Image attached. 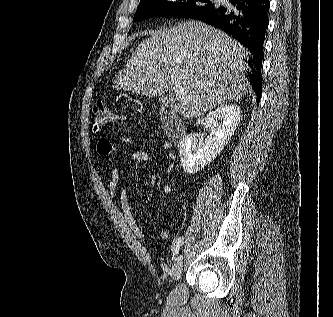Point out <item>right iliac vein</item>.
<instances>
[{"mask_svg": "<svg viewBox=\"0 0 333 317\" xmlns=\"http://www.w3.org/2000/svg\"><path fill=\"white\" fill-rule=\"evenodd\" d=\"M183 266V256L182 254H179L176 259L175 263L172 268V278L174 281H178L181 275V270Z\"/></svg>", "mask_w": 333, "mask_h": 317, "instance_id": "right-iliac-vein-1", "label": "right iliac vein"}]
</instances>
